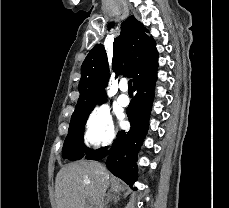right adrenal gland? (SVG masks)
<instances>
[{
	"mask_svg": "<svg viewBox=\"0 0 229 208\" xmlns=\"http://www.w3.org/2000/svg\"><path fill=\"white\" fill-rule=\"evenodd\" d=\"M118 200H120V198L117 194H115V192H108L106 204H109V202H118ZM106 204L105 208H107Z\"/></svg>",
	"mask_w": 229,
	"mask_h": 208,
	"instance_id": "1",
	"label": "right adrenal gland"
}]
</instances>
